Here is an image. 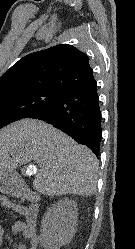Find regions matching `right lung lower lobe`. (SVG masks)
<instances>
[{"instance_id": "98d812e1", "label": "right lung lower lobe", "mask_w": 135, "mask_h": 249, "mask_svg": "<svg viewBox=\"0 0 135 249\" xmlns=\"http://www.w3.org/2000/svg\"><path fill=\"white\" fill-rule=\"evenodd\" d=\"M29 117L46 121L86 145L98 156L102 139L101 111L97 83L76 86Z\"/></svg>"}]
</instances>
